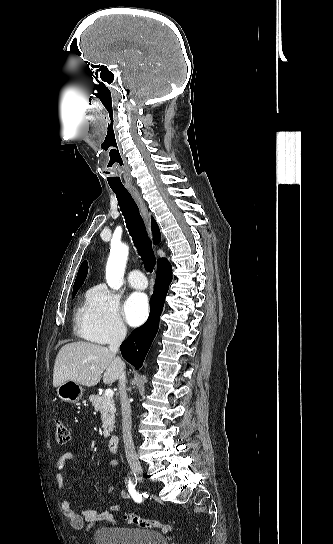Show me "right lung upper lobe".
Masks as SVG:
<instances>
[{"mask_svg":"<svg viewBox=\"0 0 333 544\" xmlns=\"http://www.w3.org/2000/svg\"><path fill=\"white\" fill-rule=\"evenodd\" d=\"M152 232H153V237L155 242L157 243L160 242L161 240L160 229L154 219H152ZM168 263L169 262L166 259L162 258L159 260V267H162L163 265ZM87 271H88V265H87V262L84 261L79 268V271L74 283L73 291L78 290L82 286L86 278Z\"/></svg>","mask_w":333,"mask_h":544,"instance_id":"cb5924a9","label":"right lung upper lobe"}]
</instances>
